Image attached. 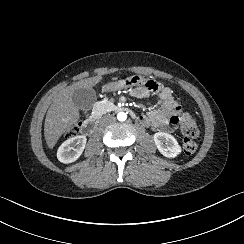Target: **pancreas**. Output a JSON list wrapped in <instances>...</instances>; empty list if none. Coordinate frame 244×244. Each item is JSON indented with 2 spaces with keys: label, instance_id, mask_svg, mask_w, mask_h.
Returning <instances> with one entry per match:
<instances>
[{
  "label": "pancreas",
  "instance_id": "1",
  "mask_svg": "<svg viewBox=\"0 0 244 244\" xmlns=\"http://www.w3.org/2000/svg\"><path fill=\"white\" fill-rule=\"evenodd\" d=\"M98 104H100L105 110H109L112 105V101L111 100L101 101V102H98Z\"/></svg>",
  "mask_w": 244,
  "mask_h": 244
}]
</instances>
